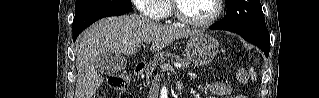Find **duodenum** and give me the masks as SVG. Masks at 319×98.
Returning <instances> with one entry per match:
<instances>
[{
  "label": "duodenum",
  "instance_id": "duodenum-1",
  "mask_svg": "<svg viewBox=\"0 0 319 98\" xmlns=\"http://www.w3.org/2000/svg\"><path fill=\"white\" fill-rule=\"evenodd\" d=\"M146 68V63L145 62H139L138 64H136L135 68H134V76L136 77H140L143 72L145 71Z\"/></svg>",
  "mask_w": 319,
  "mask_h": 98
}]
</instances>
